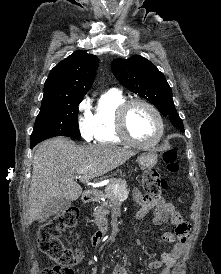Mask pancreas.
<instances>
[{"mask_svg": "<svg viewBox=\"0 0 221 274\" xmlns=\"http://www.w3.org/2000/svg\"><path fill=\"white\" fill-rule=\"evenodd\" d=\"M120 193L125 196L128 194L127 182L125 179H116L107 185L104 192L95 194V197L93 198L94 201L100 202L101 199H104V201L101 202V206L93 213L95 224L98 227L101 228L107 225L106 216L109 214V208L112 206V203L118 199Z\"/></svg>", "mask_w": 221, "mask_h": 274, "instance_id": "cf45deb5", "label": "pancreas"}]
</instances>
